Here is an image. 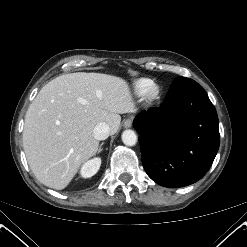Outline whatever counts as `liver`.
<instances>
[{"label":"liver","mask_w":247,"mask_h":247,"mask_svg":"<svg viewBox=\"0 0 247 247\" xmlns=\"http://www.w3.org/2000/svg\"><path fill=\"white\" fill-rule=\"evenodd\" d=\"M134 111L129 84L120 77L78 72L53 79L25 116L23 147L32 172L45 186L64 189L98 151L95 126L105 122L113 135L119 114Z\"/></svg>","instance_id":"1"}]
</instances>
